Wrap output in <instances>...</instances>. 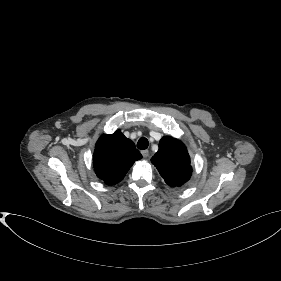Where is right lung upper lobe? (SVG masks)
I'll return each instance as SVG.
<instances>
[{
  "instance_id": "cb5924a9",
  "label": "right lung upper lobe",
  "mask_w": 281,
  "mask_h": 281,
  "mask_svg": "<svg viewBox=\"0 0 281 281\" xmlns=\"http://www.w3.org/2000/svg\"><path fill=\"white\" fill-rule=\"evenodd\" d=\"M141 158L135 144L117 130L111 135H102L97 141L93 155L94 169L96 175L107 185H114Z\"/></svg>"
}]
</instances>
